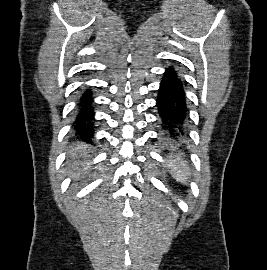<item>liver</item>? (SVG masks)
<instances>
[{"label": "liver", "instance_id": "liver-1", "mask_svg": "<svg viewBox=\"0 0 267 270\" xmlns=\"http://www.w3.org/2000/svg\"><path fill=\"white\" fill-rule=\"evenodd\" d=\"M89 152L90 148L86 144H74L69 149L68 156L70 160L67 162L66 169L74 179H79L88 172L85 163L80 162L79 159L82 157L87 158Z\"/></svg>", "mask_w": 267, "mask_h": 270}]
</instances>
